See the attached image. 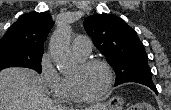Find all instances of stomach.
I'll use <instances>...</instances> for the list:
<instances>
[{
  "mask_svg": "<svg viewBox=\"0 0 171 110\" xmlns=\"http://www.w3.org/2000/svg\"><path fill=\"white\" fill-rule=\"evenodd\" d=\"M123 99L121 97H113L106 104L101 105L97 108H92L90 110H122Z\"/></svg>",
  "mask_w": 171,
  "mask_h": 110,
  "instance_id": "stomach-1",
  "label": "stomach"
}]
</instances>
